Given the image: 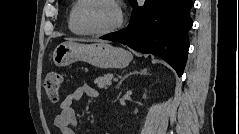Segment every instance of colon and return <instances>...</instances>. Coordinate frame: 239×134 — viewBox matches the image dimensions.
Here are the masks:
<instances>
[{"label": "colon", "mask_w": 239, "mask_h": 134, "mask_svg": "<svg viewBox=\"0 0 239 134\" xmlns=\"http://www.w3.org/2000/svg\"><path fill=\"white\" fill-rule=\"evenodd\" d=\"M61 87L62 77L59 73L51 72L46 76L44 81V90L52 102H57L59 100Z\"/></svg>", "instance_id": "5ec220e1"}]
</instances>
